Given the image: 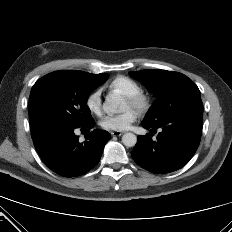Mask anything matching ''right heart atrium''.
<instances>
[{
  "mask_svg": "<svg viewBox=\"0 0 232 232\" xmlns=\"http://www.w3.org/2000/svg\"><path fill=\"white\" fill-rule=\"evenodd\" d=\"M85 105L89 112H91L94 115H101L102 113V100H101V93L99 90H94L90 92L86 99H85Z\"/></svg>",
  "mask_w": 232,
  "mask_h": 232,
  "instance_id": "right-heart-atrium-1",
  "label": "right heart atrium"
}]
</instances>
